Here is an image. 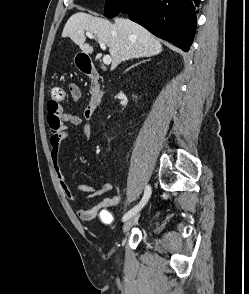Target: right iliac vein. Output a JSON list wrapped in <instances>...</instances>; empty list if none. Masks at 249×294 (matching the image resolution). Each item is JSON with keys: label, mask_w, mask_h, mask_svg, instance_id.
<instances>
[{"label": "right iliac vein", "mask_w": 249, "mask_h": 294, "mask_svg": "<svg viewBox=\"0 0 249 294\" xmlns=\"http://www.w3.org/2000/svg\"><path fill=\"white\" fill-rule=\"evenodd\" d=\"M139 214H136L129 219L126 220V222L123 225V232L127 233L138 221Z\"/></svg>", "instance_id": "obj_1"}]
</instances>
